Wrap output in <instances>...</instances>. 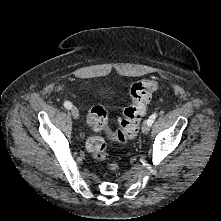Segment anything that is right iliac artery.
Wrapping results in <instances>:
<instances>
[{
    "label": "right iliac artery",
    "mask_w": 221,
    "mask_h": 221,
    "mask_svg": "<svg viewBox=\"0 0 221 221\" xmlns=\"http://www.w3.org/2000/svg\"><path fill=\"white\" fill-rule=\"evenodd\" d=\"M64 107H65L66 109H71V108H72V104H71L69 101H65V102H64Z\"/></svg>",
    "instance_id": "obj_1"
}]
</instances>
